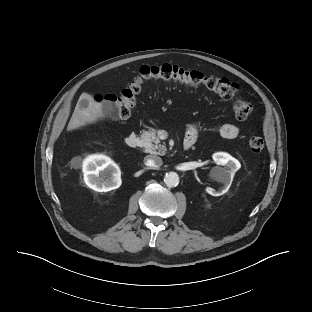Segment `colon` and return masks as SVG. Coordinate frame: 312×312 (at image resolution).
Instances as JSON below:
<instances>
[{
  "label": "colon",
  "mask_w": 312,
  "mask_h": 312,
  "mask_svg": "<svg viewBox=\"0 0 312 312\" xmlns=\"http://www.w3.org/2000/svg\"><path fill=\"white\" fill-rule=\"evenodd\" d=\"M148 80L175 81L191 85H202L224 99H232L238 86L224 77L208 76L197 70H189L177 65H144L130 85L117 95L97 96L95 102L107 103L112 108V117L115 119L127 118L136 106L137 95ZM232 111L237 120H246L252 111L248 100L238 99L232 104ZM248 146L252 152L259 153L264 148V141L259 136L250 137Z\"/></svg>",
  "instance_id": "colon-1"
}]
</instances>
